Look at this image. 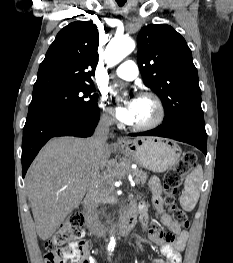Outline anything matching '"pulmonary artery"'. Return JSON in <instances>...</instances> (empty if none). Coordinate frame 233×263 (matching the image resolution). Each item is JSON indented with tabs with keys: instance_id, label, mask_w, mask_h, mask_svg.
Instances as JSON below:
<instances>
[{
	"instance_id": "1",
	"label": "pulmonary artery",
	"mask_w": 233,
	"mask_h": 263,
	"mask_svg": "<svg viewBox=\"0 0 233 263\" xmlns=\"http://www.w3.org/2000/svg\"><path fill=\"white\" fill-rule=\"evenodd\" d=\"M117 77L124 80H134L138 76V67L132 60L121 63L115 71Z\"/></svg>"
}]
</instances>
